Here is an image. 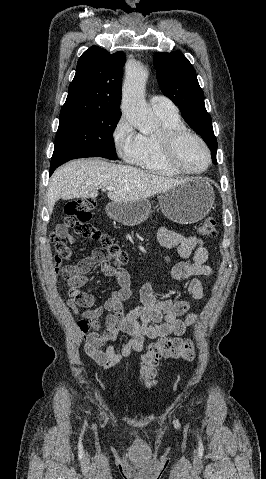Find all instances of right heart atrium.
I'll return each instance as SVG.
<instances>
[{"label":"right heart atrium","mask_w":266,"mask_h":479,"mask_svg":"<svg viewBox=\"0 0 266 479\" xmlns=\"http://www.w3.org/2000/svg\"><path fill=\"white\" fill-rule=\"evenodd\" d=\"M112 141L119 156L127 162H133L140 150V135L136 133L130 121L122 116L112 132Z\"/></svg>","instance_id":"right-heart-atrium-1"}]
</instances>
